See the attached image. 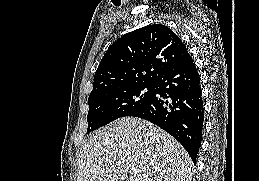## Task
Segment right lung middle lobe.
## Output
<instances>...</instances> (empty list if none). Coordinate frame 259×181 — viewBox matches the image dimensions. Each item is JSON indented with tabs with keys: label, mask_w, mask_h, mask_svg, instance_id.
Listing matches in <instances>:
<instances>
[{
	"label": "right lung middle lobe",
	"mask_w": 259,
	"mask_h": 181,
	"mask_svg": "<svg viewBox=\"0 0 259 181\" xmlns=\"http://www.w3.org/2000/svg\"><path fill=\"white\" fill-rule=\"evenodd\" d=\"M153 84H138L109 89L89 96L87 133L118 118L130 116L151 97Z\"/></svg>",
	"instance_id": "obj_1"
}]
</instances>
